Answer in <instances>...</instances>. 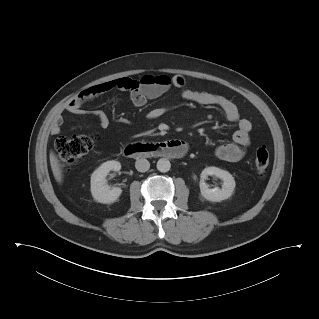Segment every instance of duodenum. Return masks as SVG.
<instances>
[{"mask_svg": "<svg viewBox=\"0 0 319 319\" xmlns=\"http://www.w3.org/2000/svg\"><path fill=\"white\" fill-rule=\"evenodd\" d=\"M187 150L181 140H166L158 143H135L124 148L123 155L134 158L163 157L180 159Z\"/></svg>", "mask_w": 319, "mask_h": 319, "instance_id": "410a0bca", "label": "duodenum"}]
</instances>
